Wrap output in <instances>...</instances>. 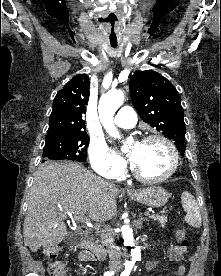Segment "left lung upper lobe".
Wrapping results in <instances>:
<instances>
[{"mask_svg":"<svg viewBox=\"0 0 221 276\" xmlns=\"http://www.w3.org/2000/svg\"><path fill=\"white\" fill-rule=\"evenodd\" d=\"M130 94L141 119L174 140L184 155V111L176 88L161 74L148 70L134 73Z\"/></svg>","mask_w":221,"mask_h":276,"instance_id":"left-lung-upper-lobe-1","label":"left lung upper lobe"}]
</instances>
